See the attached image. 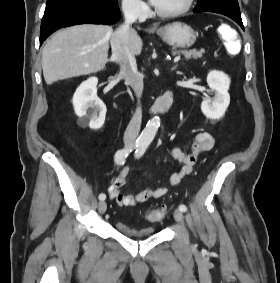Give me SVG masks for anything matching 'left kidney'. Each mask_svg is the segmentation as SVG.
I'll use <instances>...</instances> for the list:
<instances>
[{"label":"left kidney","mask_w":280,"mask_h":283,"mask_svg":"<svg viewBox=\"0 0 280 283\" xmlns=\"http://www.w3.org/2000/svg\"><path fill=\"white\" fill-rule=\"evenodd\" d=\"M207 84L215 95L213 99L208 98L201 103V110L207 118L218 120L224 116L230 103V78L221 71H210Z\"/></svg>","instance_id":"obj_1"}]
</instances>
